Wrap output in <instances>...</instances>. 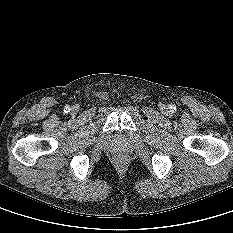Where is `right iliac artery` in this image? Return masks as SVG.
<instances>
[{"instance_id":"right-iliac-artery-1","label":"right iliac artery","mask_w":233,"mask_h":233,"mask_svg":"<svg viewBox=\"0 0 233 233\" xmlns=\"http://www.w3.org/2000/svg\"><path fill=\"white\" fill-rule=\"evenodd\" d=\"M70 110H71V108H70L69 105H66V106L64 107V112H65V113L70 112Z\"/></svg>"}]
</instances>
